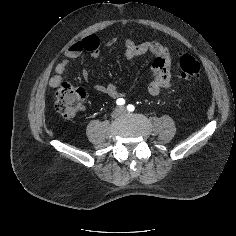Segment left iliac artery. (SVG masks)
Listing matches in <instances>:
<instances>
[{
  "instance_id": "1",
  "label": "left iliac artery",
  "mask_w": 236,
  "mask_h": 236,
  "mask_svg": "<svg viewBox=\"0 0 236 236\" xmlns=\"http://www.w3.org/2000/svg\"><path fill=\"white\" fill-rule=\"evenodd\" d=\"M134 109H135V107L133 105H131V104H129L127 106V110L130 111V112L134 111Z\"/></svg>"
}]
</instances>
